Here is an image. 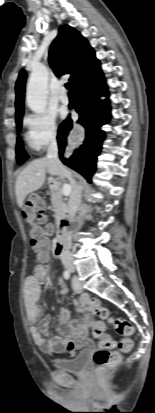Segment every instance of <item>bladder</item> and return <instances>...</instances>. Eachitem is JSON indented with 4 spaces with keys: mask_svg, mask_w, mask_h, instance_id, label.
I'll list each match as a JSON object with an SVG mask.
<instances>
[{
    "mask_svg": "<svg viewBox=\"0 0 155 413\" xmlns=\"http://www.w3.org/2000/svg\"><path fill=\"white\" fill-rule=\"evenodd\" d=\"M89 355V350H83L71 358L55 360L53 366L63 371L83 374L88 369Z\"/></svg>",
    "mask_w": 155,
    "mask_h": 413,
    "instance_id": "31cf9c89",
    "label": "bladder"
}]
</instances>
